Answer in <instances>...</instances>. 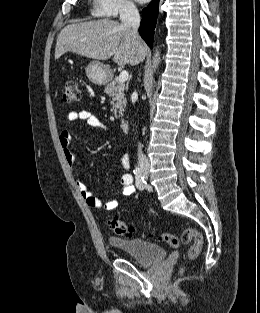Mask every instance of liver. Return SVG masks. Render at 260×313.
Segmentation results:
<instances>
[{"mask_svg":"<svg viewBox=\"0 0 260 313\" xmlns=\"http://www.w3.org/2000/svg\"><path fill=\"white\" fill-rule=\"evenodd\" d=\"M145 43L131 28L110 19L72 23L57 38L55 59L73 52L96 60L113 61L119 65H137L145 56Z\"/></svg>","mask_w":260,"mask_h":313,"instance_id":"liver-1","label":"liver"}]
</instances>
